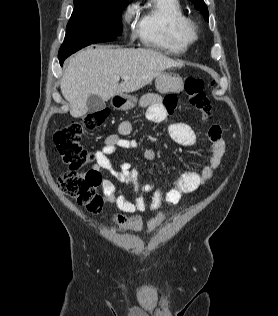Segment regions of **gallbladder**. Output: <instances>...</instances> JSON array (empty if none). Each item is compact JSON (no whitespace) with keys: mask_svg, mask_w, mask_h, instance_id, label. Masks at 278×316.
Masks as SVG:
<instances>
[{"mask_svg":"<svg viewBox=\"0 0 278 316\" xmlns=\"http://www.w3.org/2000/svg\"><path fill=\"white\" fill-rule=\"evenodd\" d=\"M106 104L99 96L90 94L87 99V107L89 113H95L103 110Z\"/></svg>","mask_w":278,"mask_h":316,"instance_id":"bac80fb5","label":"gallbladder"}]
</instances>
